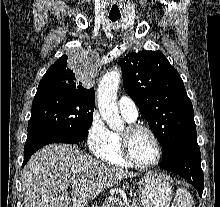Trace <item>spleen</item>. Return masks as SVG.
<instances>
[{
  "label": "spleen",
  "mask_w": 220,
  "mask_h": 207,
  "mask_svg": "<svg viewBox=\"0 0 220 207\" xmlns=\"http://www.w3.org/2000/svg\"><path fill=\"white\" fill-rule=\"evenodd\" d=\"M172 207H194L193 198L186 189L179 188L176 192Z\"/></svg>",
  "instance_id": "1"
}]
</instances>
